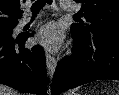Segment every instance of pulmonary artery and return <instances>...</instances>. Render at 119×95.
Returning <instances> with one entry per match:
<instances>
[{
	"label": "pulmonary artery",
	"mask_w": 119,
	"mask_h": 95,
	"mask_svg": "<svg viewBox=\"0 0 119 95\" xmlns=\"http://www.w3.org/2000/svg\"><path fill=\"white\" fill-rule=\"evenodd\" d=\"M61 8L65 11H73L75 9V6L70 3L69 1H62L61 2ZM32 20V17L31 16H25L21 22H20V25L21 26H24L26 25L27 23H29L30 21Z\"/></svg>",
	"instance_id": "obj_1"
}]
</instances>
